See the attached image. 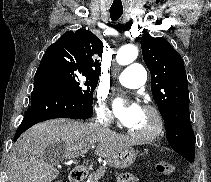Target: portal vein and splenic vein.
Returning <instances> with one entry per match:
<instances>
[{
  "label": "portal vein and splenic vein",
  "mask_w": 211,
  "mask_h": 182,
  "mask_svg": "<svg viewBox=\"0 0 211 182\" xmlns=\"http://www.w3.org/2000/svg\"><path fill=\"white\" fill-rule=\"evenodd\" d=\"M88 150H89V147H88V148H85V149H83V150H81L80 153H81V154H85ZM70 157H71V156H70ZM70 157H68V158H70Z\"/></svg>",
  "instance_id": "1"
}]
</instances>
